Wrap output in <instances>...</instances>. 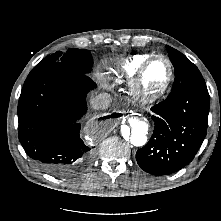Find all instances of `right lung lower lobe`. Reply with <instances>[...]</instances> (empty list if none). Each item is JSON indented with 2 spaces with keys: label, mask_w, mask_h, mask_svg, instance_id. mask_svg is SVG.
<instances>
[{
  "label": "right lung lower lobe",
  "mask_w": 221,
  "mask_h": 221,
  "mask_svg": "<svg viewBox=\"0 0 221 221\" xmlns=\"http://www.w3.org/2000/svg\"><path fill=\"white\" fill-rule=\"evenodd\" d=\"M95 87L87 75L58 62L40 63L29 73L18 103L19 140L44 171L69 176L90 158L78 120L87 111V93Z\"/></svg>",
  "instance_id": "98d812e1"
}]
</instances>
